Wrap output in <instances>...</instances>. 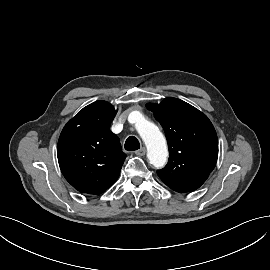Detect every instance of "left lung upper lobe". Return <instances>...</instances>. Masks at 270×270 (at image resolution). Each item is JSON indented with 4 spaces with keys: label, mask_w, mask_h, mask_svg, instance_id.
I'll return each mask as SVG.
<instances>
[{
    "label": "left lung upper lobe",
    "mask_w": 270,
    "mask_h": 270,
    "mask_svg": "<svg viewBox=\"0 0 270 270\" xmlns=\"http://www.w3.org/2000/svg\"><path fill=\"white\" fill-rule=\"evenodd\" d=\"M162 125L169 148L167 165L157 170L160 179L177 192L198 189L216 165L218 139L206 115L192 105L166 98L146 104Z\"/></svg>",
    "instance_id": "obj_1"
}]
</instances>
